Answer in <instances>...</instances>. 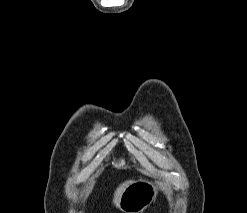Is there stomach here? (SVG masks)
I'll list each match as a JSON object with an SVG mask.
<instances>
[{
    "label": "stomach",
    "instance_id": "1",
    "mask_svg": "<svg viewBox=\"0 0 247 213\" xmlns=\"http://www.w3.org/2000/svg\"><path fill=\"white\" fill-rule=\"evenodd\" d=\"M159 187L147 179L132 182L122 193L118 207L123 213H143L157 198Z\"/></svg>",
    "mask_w": 247,
    "mask_h": 213
}]
</instances>
